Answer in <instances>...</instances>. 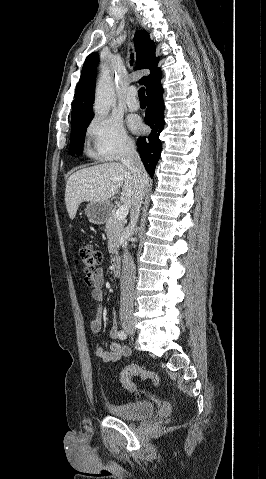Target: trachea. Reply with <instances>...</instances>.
Listing matches in <instances>:
<instances>
[{"instance_id": "1", "label": "trachea", "mask_w": 266, "mask_h": 479, "mask_svg": "<svg viewBox=\"0 0 266 479\" xmlns=\"http://www.w3.org/2000/svg\"><path fill=\"white\" fill-rule=\"evenodd\" d=\"M131 58H133V54H131ZM138 96H139V100L146 101V96H145V89H144V87H141V88L138 90Z\"/></svg>"}]
</instances>
